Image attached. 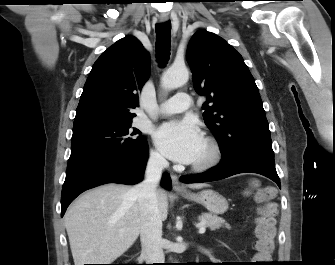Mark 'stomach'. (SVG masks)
I'll list each match as a JSON object with an SVG mask.
<instances>
[{"mask_svg": "<svg viewBox=\"0 0 335 265\" xmlns=\"http://www.w3.org/2000/svg\"><path fill=\"white\" fill-rule=\"evenodd\" d=\"M189 201L202 204L212 214H223L228 209V201L218 192L206 189L198 193H181Z\"/></svg>", "mask_w": 335, "mask_h": 265, "instance_id": "obj_1", "label": "stomach"}]
</instances>
